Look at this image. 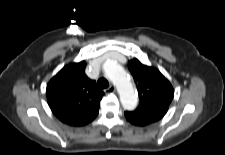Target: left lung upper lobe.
Returning a JSON list of instances; mask_svg holds the SVG:
<instances>
[{
    "instance_id": "1",
    "label": "left lung upper lobe",
    "mask_w": 225,
    "mask_h": 155,
    "mask_svg": "<svg viewBox=\"0 0 225 155\" xmlns=\"http://www.w3.org/2000/svg\"><path fill=\"white\" fill-rule=\"evenodd\" d=\"M137 85L139 106L125 112L126 119L137 126H146L161 120L167 113L174 96L170 82L154 67L143 65L134 58L128 63Z\"/></svg>"
}]
</instances>
